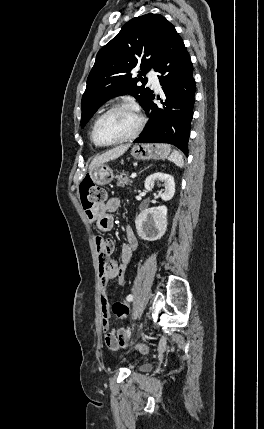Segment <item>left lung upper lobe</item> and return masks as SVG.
Instances as JSON below:
<instances>
[{
    "mask_svg": "<svg viewBox=\"0 0 264 429\" xmlns=\"http://www.w3.org/2000/svg\"><path fill=\"white\" fill-rule=\"evenodd\" d=\"M174 26L160 14L148 13L128 21L97 53L82 96L81 127L112 97L130 94L144 108L153 91L137 86L147 83L146 73L155 68L166 39ZM139 68L138 77L130 71Z\"/></svg>",
    "mask_w": 264,
    "mask_h": 429,
    "instance_id": "left-lung-upper-lobe-1",
    "label": "left lung upper lobe"
}]
</instances>
